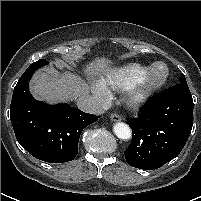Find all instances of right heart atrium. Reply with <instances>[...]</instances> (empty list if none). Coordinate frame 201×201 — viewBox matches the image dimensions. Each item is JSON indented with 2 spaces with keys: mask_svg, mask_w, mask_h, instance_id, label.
<instances>
[{
  "mask_svg": "<svg viewBox=\"0 0 201 201\" xmlns=\"http://www.w3.org/2000/svg\"><path fill=\"white\" fill-rule=\"evenodd\" d=\"M92 92L99 103V105H104L109 99V93L107 89L100 83L94 84L92 86Z\"/></svg>",
  "mask_w": 201,
  "mask_h": 201,
  "instance_id": "right-heart-atrium-1",
  "label": "right heart atrium"
}]
</instances>
